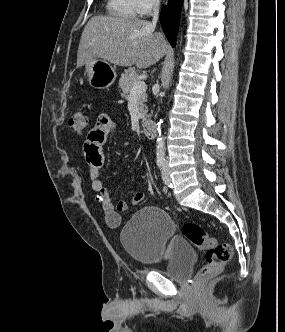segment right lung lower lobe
<instances>
[{
  "label": "right lung lower lobe",
  "mask_w": 285,
  "mask_h": 332,
  "mask_svg": "<svg viewBox=\"0 0 285 332\" xmlns=\"http://www.w3.org/2000/svg\"><path fill=\"white\" fill-rule=\"evenodd\" d=\"M182 1L183 0H169L167 6L162 8V12L160 14L161 25L173 47L175 46L179 28Z\"/></svg>",
  "instance_id": "right-lung-lower-lobe-1"
}]
</instances>
